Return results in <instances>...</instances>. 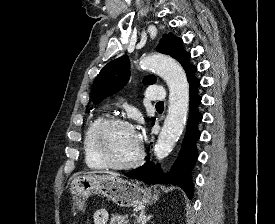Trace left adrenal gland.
I'll return each instance as SVG.
<instances>
[{
	"label": "left adrenal gland",
	"mask_w": 275,
	"mask_h": 224,
	"mask_svg": "<svg viewBox=\"0 0 275 224\" xmlns=\"http://www.w3.org/2000/svg\"><path fill=\"white\" fill-rule=\"evenodd\" d=\"M146 211H141L139 216L137 217V224H146L152 217V215L146 216Z\"/></svg>",
	"instance_id": "a2214340"
}]
</instances>
